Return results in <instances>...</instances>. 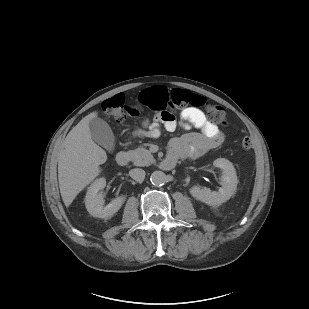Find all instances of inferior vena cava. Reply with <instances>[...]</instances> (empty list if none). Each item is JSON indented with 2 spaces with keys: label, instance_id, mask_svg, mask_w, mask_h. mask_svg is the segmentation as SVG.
Segmentation results:
<instances>
[{
  "label": "inferior vena cava",
  "instance_id": "obj_1",
  "mask_svg": "<svg viewBox=\"0 0 309 309\" xmlns=\"http://www.w3.org/2000/svg\"><path fill=\"white\" fill-rule=\"evenodd\" d=\"M129 175L131 178H133L137 182H143L145 178V171L140 168L131 169L129 171Z\"/></svg>",
  "mask_w": 309,
  "mask_h": 309
}]
</instances>
